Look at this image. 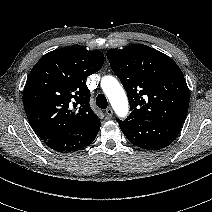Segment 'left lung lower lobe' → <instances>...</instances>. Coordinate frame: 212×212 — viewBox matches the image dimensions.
<instances>
[{"instance_id": "1", "label": "left lung lower lobe", "mask_w": 212, "mask_h": 212, "mask_svg": "<svg viewBox=\"0 0 212 212\" xmlns=\"http://www.w3.org/2000/svg\"><path fill=\"white\" fill-rule=\"evenodd\" d=\"M182 124L165 120H142L120 128L132 144L146 150H160L175 140Z\"/></svg>"}]
</instances>
